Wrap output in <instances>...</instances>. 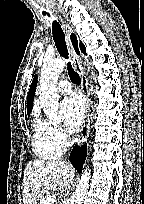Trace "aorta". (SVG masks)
Segmentation results:
<instances>
[{
    "label": "aorta",
    "mask_w": 144,
    "mask_h": 204,
    "mask_svg": "<svg viewBox=\"0 0 144 204\" xmlns=\"http://www.w3.org/2000/svg\"><path fill=\"white\" fill-rule=\"evenodd\" d=\"M64 66L65 61L57 58L46 61L41 69L39 100L44 113L52 120L58 119L59 103L56 84ZM88 69L90 68L88 67ZM90 176L91 172L86 168L82 173L70 204H82L89 186Z\"/></svg>",
    "instance_id": "aorta-1"
}]
</instances>
